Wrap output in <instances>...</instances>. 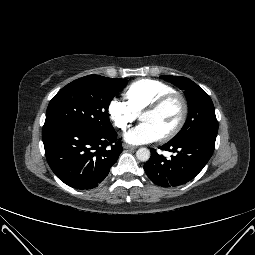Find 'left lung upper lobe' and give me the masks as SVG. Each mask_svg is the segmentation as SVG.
Masks as SVG:
<instances>
[{
	"instance_id": "1",
	"label": "left lung upper lobe",
	"mask_w": 255,
	"mask_h": 255,
	"mask_svg": "<svg viewBox=\"0 0 255 255\" xmlns=\"http://www.w3.org/2000/svg\"><path fill=\"white\" fill-rule=\"evenodd\" d=\"M161 78L184 90L189 107V116L185 125L170 142L200 140L215 144L218 122L210 97L188 78L170 75H162Z\"/></svg>"
}]
</instances>
